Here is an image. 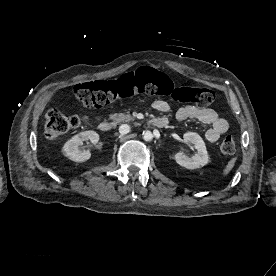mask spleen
<instances>
[{"instance_id":"1","label":"spleen","mask_w":276,"mask_h":276,"mask_svg":"<svg viewBox=\"0 0 276 276\" xmlns=\"http://www.w3.org/2000/svg\"><path fill=\"white\" fill-rule=\"evenodd\" d=\"M235 162H236V158H232L228 163L227 165L225 166V168L223 169V176H227L230 171L233 169L234 165H235Z\"/></svg>"}]
</instances>
